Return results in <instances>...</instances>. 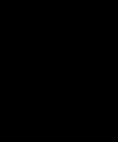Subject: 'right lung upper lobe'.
<instances>
[{
    "label": "right lung upper lobe",
    "instance_id": "1",
    "mask_svg": "<svg viewBox=\"0 0 118 142\" xmlns=\"http://www.w3.org/2000/svg\"><path fill=\"white\" fill-rule=\"evenodd\" d=\"M34 58L20 49L6 59L0 58V129L15 130V125L34 111L25 99L31 91Z\"/></svg>",
    "mask_w": 118,
    "mask_h": 142
}]
</instances>
